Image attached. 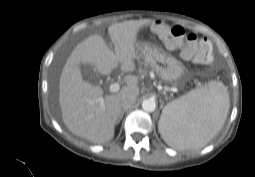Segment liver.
Returning a JSON list of instances; mask_svg holds the SVG:
<instances>
[{
	"mask_svg": "<svg viewBox=\"0 0 255 177\" xmlns=\"http://www.w3.org/2000/svg\"><path fill=\"white\" fill-rule=\"evenodd\" d=\"M150 22L129 20L112 24L108 33L115 52L100 35L89 36L72 51L60 76L59 104L63 122L73 134L95 144L106 143L114 137L122 112L121 99L126 95H139L138 78L127 75L126 84L118 93L103 98L100 86L83 80L80 65H92L102 75H109L119 64L124 72L135 71L137 35Z\"/></svg>",
	"mask_w": 255,
	"mask_h": 177,
	"instance_id": "obj_1",
	"label": "liver"
}]
</instances>
